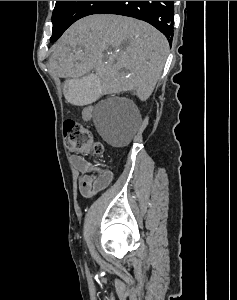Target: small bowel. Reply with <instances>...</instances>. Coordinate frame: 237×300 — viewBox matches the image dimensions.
<instances>
[{"label":"small bowel","mask_w":237,"mask_h":300,"mask_svg":"<svg viewBox=\"0 0 237 300\" xmlns=\"http://www.w3.org/2000/svg\"><path fill=\"white\" fill-rule=\"evenodd\" d=\"M93 108H83L81 116L83 120H90ZM75 169L81 173L79 177V192L82 197L88 198L107 188L113 180V173L107 168H97L81 156L71 157Z\"/></svg>","instance_id":"1"}]
</instances>
